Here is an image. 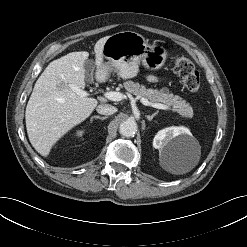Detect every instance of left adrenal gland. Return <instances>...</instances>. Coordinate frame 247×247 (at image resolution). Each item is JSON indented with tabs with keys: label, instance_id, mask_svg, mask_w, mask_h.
<instances>
[{
	"label": "left adrenal gland",
	"instance_id": "a2214340",
	"mask_svg": "<svg viewBox=\"0 0 247 247\" xmlns=\"http://www.w3.org/2000/svg\"><path fill=\"white\" fill-rule=\"evenodd\" d=\"M157 114H158V112H155V113H153L152 115H147V119H148L149 121H151Z\"/></svg>",
	"mask_w": 247,
	"mask_h": 247
}]
</instances>
